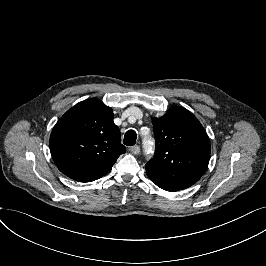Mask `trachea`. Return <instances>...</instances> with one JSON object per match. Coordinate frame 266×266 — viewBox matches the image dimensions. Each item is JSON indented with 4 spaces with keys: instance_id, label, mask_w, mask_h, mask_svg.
Returning <instances> with one entry per match:
<instances>
[{
    "instance_id": "trachea-1",
    "label": "trachea",
    "mask_w": 266,
    "mask_h": 266,
    "mask_svg": "<svg viewBox=\"0 0 266 266\" xmlns=\"http://www.w3.org/2000/svg\"><path fill=\"white\" fill-rule=\"evenodd\" d=\"M137 134L134 130H129L124 136L123 143L127 146H133L136 143Z\"/></svg>"
}]
</instances>
